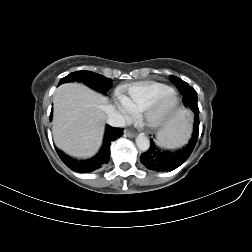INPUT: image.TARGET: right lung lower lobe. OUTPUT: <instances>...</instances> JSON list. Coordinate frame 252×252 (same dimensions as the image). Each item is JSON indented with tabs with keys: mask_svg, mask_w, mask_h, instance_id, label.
<instances>
[{
	"mask_svg": "<svg viewBox=\"0 0 252 252\" xmlns=\"http://www.w3.org/2000/svg\"><path fill=\"white\" fill-rule=\"evenodd\" d=\"M52 118V113L50 115V121ZM123 135L122 128H114L109 125L106 126V131L104 135V142L99 153L89 159V160H75L67 155H65L62 151L57 150V153L61 160L73 171L79 173H89L95 171L105 164L108 163L110 157V145L113 141Z\"/></svg>",
	"mask_w": 252,
	"mask_h": 252,
	"instance_id": "1",
	"label": "right lung lower lobe"
}]
</instances>
